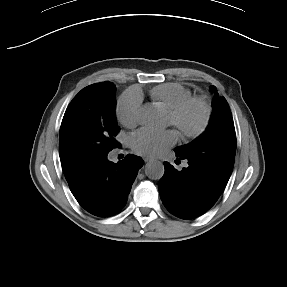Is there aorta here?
Returning <instances> with one entry per match:
<instances>
[{
	"instance_id": "762f6f07",
	"label": "aorta",
	"mask_w": 287,
	"mask_h": 287,
	"mask_svg": "<svg viewBox=\"0 0 287 287\" xmlns=\"http://www.w3.org/2000/svg\"><path fill=\"white\" fill-rule=\"evenodd\" d=\"M165 172L164 165L160 161L149 162L145 166V174L148 178L159 180L163 177Z\"/></svg>"
}]
</instances>
